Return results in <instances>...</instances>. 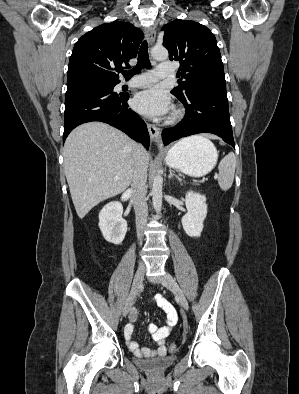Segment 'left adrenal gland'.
Wrapping results in <instances>:
<instances>
[{
  "label": "left adrenal gland",
  "mask_w": 299,
  "mask_h": 394,
  "mask_svg": "<svg viewBox=\"0 0 299 394\" xmlns=\"http://www.w3.org/2000/svg\"><path fill=\"white\" fill-rule=\"evenodd\" d=\"M169 172H170V174H169V176H168L169 179L172 178V177H175L178 181H181V179H180L177 175H175L174 173H172L171 170H170Z\"/></svg>",
  "instance_id": "left-adrenal-gland-1"
}]
</instances>
